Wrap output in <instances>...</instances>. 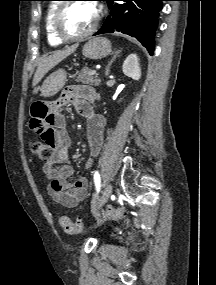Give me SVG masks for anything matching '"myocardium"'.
<instances>
[{
  "label": "myocardium",
  "mask_w": 216,
  "mask_h": 285,
  "mask_svg": "<svg viewBox=\"0 0 216 285\" xmlns=\"http://www.w3.org/2000/svg\"><path fill=\"white\" fill-rule=\"evenodd\" d=\"M73 3L74 2H63L59 4L54 14V17H53V31L56 37L62 40L63 42L80 41V40H83L91 36L97 30L99 23H100L101 12L99 9L96 8L97 15H96L95 22L87 31H85L84 33L78 34V35L68 34L63 28V18H64V14L67 8Z\"/></svg>",
  "instance_id": "f54148a6"
}]
</instances>
